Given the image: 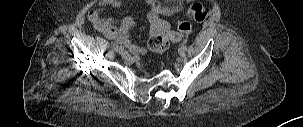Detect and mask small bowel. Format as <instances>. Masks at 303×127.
I'll list each match as a JSON object with an SVG mask.
<instances>
[{
  "instance_id": "small-bowel-1",
  "label": "small bowel",
  "mask_w": 303,
  "mask_h": 127,
  "mask_svg": "<svg viewBox=\"0 0 303 127\" xmlns=\"http://www.w3.org/2000/svg\"><path fill=\"white\" fill-rule=\"evenodd\" d=\"M144 3L148 7L147 20L151 36L169 32L171 26L164 17L176 15L183 10L180 3H161L158 0H144ZM121 6V0H103L98 8L89 12L88 19L93 27L106 38L124 46L132 54H143L146 49L129 39L130 31L136 26V21L132 17H124L116 22L103 16V11L107 7L118 9Z\"/></svg>"
}]
</instances>
